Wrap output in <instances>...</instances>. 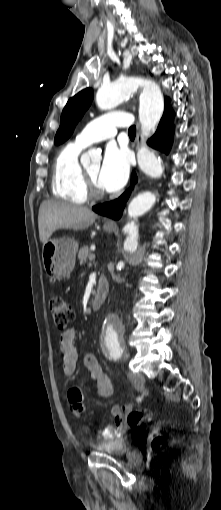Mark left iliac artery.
Segmentation results:
<instances>
[{
	"instance_id": "1",
	"label": "left iliac artery",
	"mask_w": 221,
	"mask_h": 510,
	"mask_svg": "<svg viewBox=\"0 0 221 510\" xmlns=\"http://www.w3.org/2000/svg\"><path fill=\"white\" fill-rule=\"evenodd\" d=\"M122 355V348L116 344L112 347V349L110 350V356L114 359V360H118Z\"/></svg>"
}]
</instances>
